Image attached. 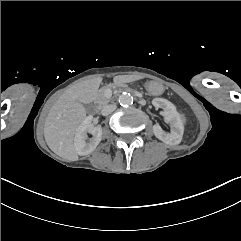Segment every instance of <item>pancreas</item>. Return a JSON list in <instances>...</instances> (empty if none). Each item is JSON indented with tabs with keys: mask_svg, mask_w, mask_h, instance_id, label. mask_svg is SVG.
Returning a JSON list of instances; mask_svg holds the SVG:
<instances>
[{
	"mask_svg": "<svg viewBox=\"0 0 241 241\" xmlns=\"http://www.w3.org/2000/svg\"><path fill=\"white\" fill-rule=\"evenodd\" d=\"M104 91H105V89H101V90L99 91V96H98V98H97V103H98L99 105H106V104L110 101V98H107V97L105 96Z\"/></svg>",
	"mask_w": 241,
	"mask_h": 241,
	"instance_id": "obj_1",
	"label": "pancreas"
}]
</instances>
